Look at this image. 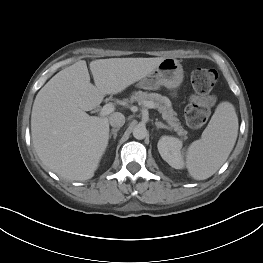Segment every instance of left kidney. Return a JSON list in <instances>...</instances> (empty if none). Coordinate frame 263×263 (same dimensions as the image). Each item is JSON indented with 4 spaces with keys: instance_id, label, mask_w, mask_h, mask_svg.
<instances>
[{
    "instance_id": "left-kidney-1",
    "label": "left kidney",
    "mask_w": 263,
    "mask_h": 263,
    "mask_svg": "<svg viewBox=\"0 0 263 263\" xmlns=\"http://www.w3.org/2000/svg\"><path fill=\"white\" fill-rule=\"evenodd\" d=\"M158 151L171 167L181 169L184 166L182 141L172 136H162L157 144Z\"/></svg>"
}]
</instances>
